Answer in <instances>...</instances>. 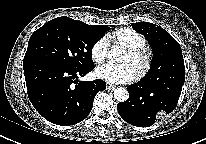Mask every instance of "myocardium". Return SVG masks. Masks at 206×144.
Returning <instances> with one entry per match:
<instances>
[{
	"instance_id": "1",
	"label": "myocardium",
	"mask_w": 206,
	"mask_h": 144,
	"mask_svg": "<svg viewBox=\"0 0 206 144\" xmlns=\"http://www.w3.org/2000/svg\"><path fill=\"white\" fill-rule=\"evenodd\" d=\"M128 53L137 63V77H145L151 69L152 55L146 48H128Z\"/></svg>"
}]
</instances>
